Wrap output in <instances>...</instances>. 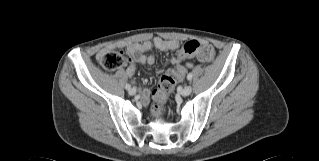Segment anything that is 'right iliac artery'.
I'll return each instance as SVG.
<instances>
[{"label":"right iliac artery","mask_w":319,"mask_h":161,"mask_svg":"<svg viewBox=\"0 0 319 161\" xmlns=\"http://www.w3.org/2000/svg\"><path fill=\"white\" fill-rule=\"evenodd\" d=\"M131 86L129 84L126 85V89L129 90Z\"/></svg>","instance_id":"obj_1"}]
</instances>
